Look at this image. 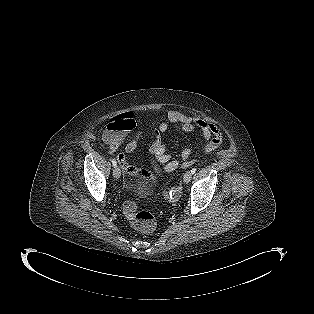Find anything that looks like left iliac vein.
<instances>
[{
  "label": "left iliac vein",
  "instance_id": "left-iliac-vein-1",
  "mask_svg": "<svg viewBox=\"0 0 314 314\" xmlns=\"http://www.w3.org/2000/svg\"><path fill=\"white\" fill-rule=\"evenodd\" d=\"M192 178V173L190 171H187L183 176L184 183L188 184Z\"/></svg>",
  "mask_w": 314,
  "mask_h": 314
}]
</instances>
